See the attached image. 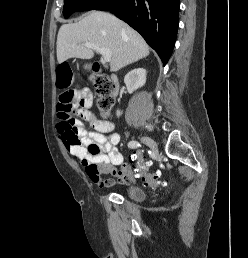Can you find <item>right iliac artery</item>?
Returning a JSON list of instances; mask_svg holds the SVG:
<instances>
[{
	"label": "right iliac artery",
	"mask_w": 248,
	"mask_h": 258,
	"mask_svg": "<svg viewBox=\"0 0 248 258\" xmlns=\"http://www.w3.org/2000/svg\"><path fill=\"white\" fill-rule=\"evenodd\" d=\"M141 144L138 141L132 140L128 143V147L130 148H138Z\"/></svg>",
	"instance_id": "obj_1"
}]
</instances>
